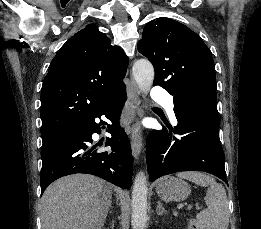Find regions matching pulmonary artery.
Wrapping results in <instances>:
<instances>
[{
	"mask_svg": "<svg viewBox=\"0 0 261 229\" xmlns=\"http://www.w3.org/2000/svg\"><path fill=\"white\" fill-rule=\"evenodd\" d=\"M153 94H151V99H161L157 100V105H162V109L169 115L170 120L173 124H177V118L174 113V100H172V96L170 91L166 89H159V84L153 85Z\"/></svg>",
	"mask_w": 261,
	"mask_h": 229,
	"instance_id": "1",
	"label": "pulmonary artery"
}]
</instances>
